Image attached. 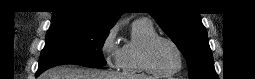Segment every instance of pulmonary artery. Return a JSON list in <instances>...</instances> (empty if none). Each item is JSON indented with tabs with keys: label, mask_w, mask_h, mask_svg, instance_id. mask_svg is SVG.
<instances>
[{
	"label": "pulmonary artery",
	"mask_w": 255,
	"mask_h": 79,
	"mask_svg": "<svg viewBox=\"0 0 255 79\" xmlns=\"http://www.w3.org/2000/svg\"><path fill=\"white\" fill-rule=\"evenodd\" d=\"M134 22H142V23H146V24H151L147 19H139Z\"/></svg>",
	"instance_id": "pulmonary-artery-1"
}]
</instances>
